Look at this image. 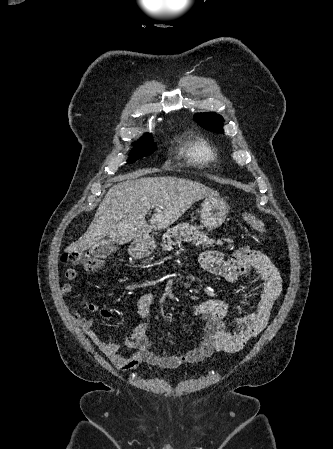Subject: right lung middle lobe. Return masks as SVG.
I'll return each mask as SVG.
<instances>
[{
    "label": "right lung middle lobe",
    "mask_w": 333,
    "mask_h": 449,
    "mask_svg": "<svg viewBox=\"0 0 333 449\" xmlns=\"http://www.w3.org/2000/svg\"><path fill=\"white\" fill-rule=\"evenodd\" d=\"M146 136H147L146 139L141 141L139 140V142L135 143L136 147L133 148L132 154L130 158L127 160L128 164L135 162L139 158L148 156L155 151L156 145L153 142L152 137L148 134Z\"/></svg>",
    "instance_id": "dd1d6c3e"
}]
</instances>
